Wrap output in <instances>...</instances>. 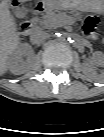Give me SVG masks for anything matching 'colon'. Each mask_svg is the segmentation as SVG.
Wrapping results in <instances>:
<instances>
[{"label":"colon","instance_id":"5ec220e1","mask_svg":"<svg viewBox=\"0 0 104 137\" xmlns=\"http://www.w3.org/2000/svg\"><path fill=\"white\" fill-rule=\"evenodd\" d=\"M10 3L13 7L19 5V0H10ZM98 25V18L94 15H89L84 21V33L86 35H92Z\"/></svg>","mask_w":104,"mask_h":137}]
</instances>
